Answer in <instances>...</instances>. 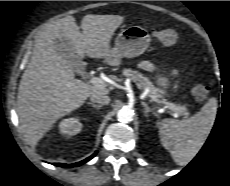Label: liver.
Listing matches in <instances>:
<instances>
[{
    "label": "liver",
    "instance_id": "obj_1",
    "mask_svg": "<svg viewBox=\"0 0 230 186\" xmlns=\"http://www.w3.org/2000/svg\"><path fill=\"white\" fill-rule=\"evenodd\" d=\"M123 21L119 15H85L81 33L75 18L67 16L41 33L17 96L20 129L27 144L36 146L57 120L83 105L91 94L109 93L105 87L74 79L71 62L59 53L57 40L69 41L77 59H105L111 49L110 40Z\"/></svg>",
    "mask_w": 230,
    "mask_h": 186
}]
</instances>
